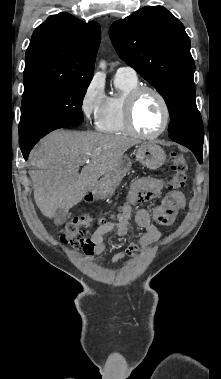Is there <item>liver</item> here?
<instances>
[{
    "label": "liver",
    "mask_w": 221,
    "mask_h": 379,
    "mask_svg": "<svg viewBox=\"0 0 221 379\" xmlns=\"http://www.w3.org/2000/svg\"><path fill=\"white\" fill-rule=\"evenodd\" d=\"M137 143L130 137L96 132L56 130L48 134L29 157L34 199L42 214L52 218L59 208L68 213Z\"/></svg>",
    "instance_id": "liver-1"
}]
</instances>
